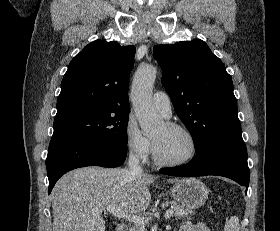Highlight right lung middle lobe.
Masks as SVG:
<instances>
[{
  "mask_svg": "<svg viewBox=\"0 0 280 231\" xmlns=\"http://www.w3.org/2000/svg\"><path fill=\"white\" fill-rule=\"evenodd\" d=\"M128 112L103 113L54 121L52 137L73 136L127 152Z\"/></svg>",
  "mask_w": 280,
  "mask_h": 231,
  "instance_id": "right-lung-middle-lobe-1",
  "label": "right lung middle lobe"
}]
</instances>
